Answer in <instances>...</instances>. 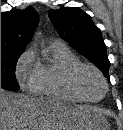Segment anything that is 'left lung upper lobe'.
Instances as JSON below:
<instances>
[{"label":"left lung upper lobe","mask_w":123,"mask_h":130,"mask_svg":"<svg viewBox=\"0 0 123 130\" xmlns=\"http://www.w3.org/2000/svg\"><path fill=\"white\" fill-rule=\"evenodd\" d=\"M49 18L60 36L109 78L110 62L100 29L79 8L51 10Z\"/></svg>","instance_id":"obj_1"}]
</instances>
